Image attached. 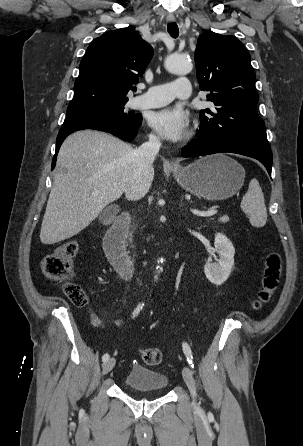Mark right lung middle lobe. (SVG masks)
Wrapping results in <instances>:
<instances>
[{
  "instance_id": "dd1d6c3e",
  "label": "right lung middle lobe",
  "mask_w": 303,
  "mask_h": 446,
  "mask_svg": "<svg viewBox=\"0 0 303 446\" xmlns=\"http://www.w3.org/2000/svg\"><path fill=\"white\" fill-rule=\"evenodd\" d=\"M126 102L110 104L100 107H95L87 110H67L66 118L63 124H67L79 119L88 117H103L119 121L131 127H138L141 125L142 116L140 114L125 113L124 105Z\"/></svg>"
}]
</instances>
